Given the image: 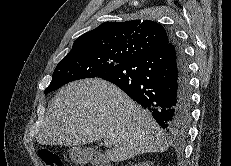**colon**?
I'll return each mask as SVG.
<instances>
[{"mask_svg":"<svg viewBox=\"0 0 231 166\" xmlns=\"http://www.w3.org/2000/svg\"><path fill=\"white\" fill-rule=\"evenodd\" d=\"M40 157L45 166H63L60 156L50 150H42Z\"/></svg>","mask_w":231,"mask_h":166,"instance_id":"colon-1","label":"colon"}]
</instances>
